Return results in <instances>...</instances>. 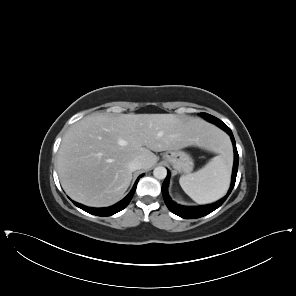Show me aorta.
<instances>
[{
    "mask_svg": "<svg viewBox=\"0 0 296 296\" xmlns=\"http://www.w3.org/2000/svg\"><path fill=\"white\" fill-rule=\"evenodd\" d=\"M153 175L157 179H164L167 175V170L162 166L156 167L153 171Z\"/></svg>",
    "mask_w": 296,
    "mask_h": 296,
    "instance_id": "aorta-1",
    "label": "aorta"
}]
</instances>
